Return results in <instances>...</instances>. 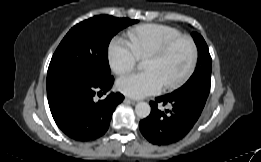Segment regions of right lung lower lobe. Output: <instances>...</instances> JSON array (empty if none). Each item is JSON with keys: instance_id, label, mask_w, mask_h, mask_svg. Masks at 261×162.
<instances>
[{"instance_id": "right-lung-lower-lobe-1", "label": "right lung lower lobe", "mask_w": 261, "mask_h": 162, "mask_svg": "<svg viewBox=\"0 0 261 162\" xmlns=\"http://www.w3.org/2000/svg\"><path fill=\"white\" fill-rule=\"evenodd\" d=\"M113 76L95 83L82 77H65L47 85V97L58 127L77 141H91L107 131L116 106L124 96L111 93L95 102V90H110Z\"/></svg>"}]
</instances>
